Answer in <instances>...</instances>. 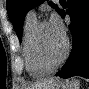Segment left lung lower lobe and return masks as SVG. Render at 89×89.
Here are the masks:
<instances>
[{
	"label": "left lung lower lobe",
	"instance_id": "obj_1",
	"mask_svg": "<svg viewBox=\"0 0 89 89\" xmlns=\"http://www.w3.org/2000/svg\"><path fill=\"white\" fill-rule=\"evenodd\" d=\"M68 10H60L71 18L69 29L73 38L72 51L62 69L56 73L61 78L82 76L89 78V0H67Z\"/></svg>",
	"mask_w": 89,
	"mask_h": 89
}]
</instances>
